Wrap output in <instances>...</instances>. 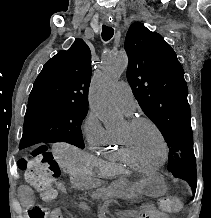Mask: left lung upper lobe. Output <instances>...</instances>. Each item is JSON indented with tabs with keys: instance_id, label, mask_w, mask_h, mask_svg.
I'll list each match as a JSON object with an SVG mask.
<instances>
[{
	"instance_id": "left-lung-upper-lobe-1",
	"label": "left lung upper lobe",
	"mask_w": 211,
	"mask_h": 218,
	"mask_svg": "<svg viewBox=\"0 0 211 218\" xmlns=\"http://www.w3.org/2000/svg\"><path fill=\"white\" fill-rule=\"evenodd\" d=\"M127 79L143 112L161 131L169 148L168 170L196 189L191 112L184 71L163 37L142 23L132 24L125 39Z\"/></svg>"
}]
</instances>
